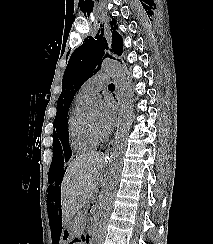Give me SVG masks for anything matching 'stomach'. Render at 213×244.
<instances>
[{
  "label": "stomach",
  "mask_w": 213,
  "mask_h": 244,
  "mask_svg": "<svg viewBox=\"0 0 213 244\" xmlns=\"http://www.w3.org/2000/svg\"><path fill=\"white\" fill-rule=\"evenodd\" d=\"M76 221H65L63 223V239H59V244H71V239H76L78 229L75 228Z\"/></svg>",
  "instance_id": "1"
}]
</instances>
